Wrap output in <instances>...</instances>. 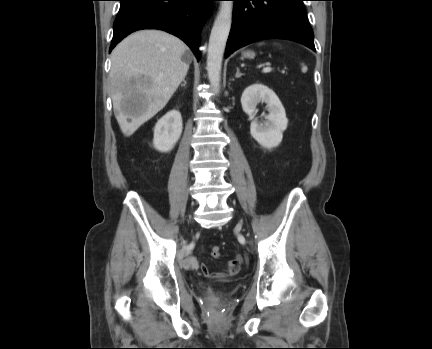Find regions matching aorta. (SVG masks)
I'll return each instance as SVG.
<instances>
[{"label":"aorta","instance_id":"aorta-1","mask_svg":"<svg viewBox=\"0 0 432 349\" xmlns=\"http://www.w3.org/2000/svg\"><path fill=\"white\" fill-rule=\"evenodd\" d=\"M232 1H222L214 21L207 51V71L212 87L217 89L221 81L223 54L232 24Z\"/></svg>","mask_w":432,"mask_h":349}]
</instances>
